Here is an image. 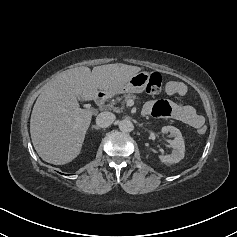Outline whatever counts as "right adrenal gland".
Returning a JSON list of instances; mask_svg holds the SVG:
<instances>
[{
	"label": "right adrenal gland",
	"mask_w": 237,
	"mask_h": 237,
	"mask_svg": "<svg viewBox=\"0 0 237 237\" xmlns=\"http://www.w3.org/2000/svg\"><path fill=\"white\" fill-rule=\"evenodd\" d=\"M92 129L100 130V127L97 126V125H93V126H92Z\"/></svg>",
	"instance_id": "1"
}]
</instances>
